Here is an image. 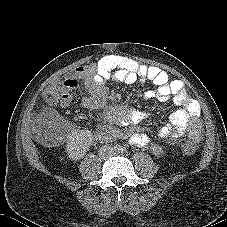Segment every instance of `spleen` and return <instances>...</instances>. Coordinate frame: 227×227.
I'll return each mask as SVG.
<instances>
[{
	"instance_id": "3e777b00",
	"label": "spleen",
	"mask_w": 227,
	"mask_h": 227,
	"mask_svg": "<svg viewBox=\"0 0 227 227\" xmlns=\"http://www.w3.org/2000/svg\"><path fill=\"white\" fill-rule=\"evenodd\" d=\"M184 136L191 143L200 142L205 136V124L198 117L189 118L184 124Z\"/></svg>"
}]
</instances>
